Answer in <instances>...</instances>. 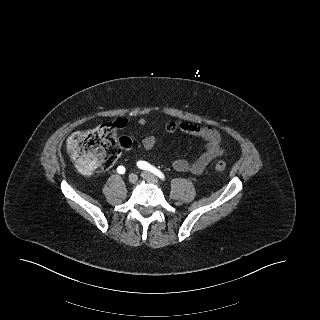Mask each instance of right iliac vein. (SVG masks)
Returning <instances> with one entry per match:
<instances>
[{"mask_svg":"<svg viewBox=\"0 0 320 320\" xmlns=\"http://www.w3.org/2000/svg\"><path fill=\"white\" fill-rule=\"evenodd\" d=\"M137 175L136 174H130L129 175V177H128V180H129V182L131 183V184H134V183H136L137 182Z\"/></svg>","mask_w":320,"mask_h":320,"instance_id":"right-iliac-vein-1","label":"right iliac vein"}]
</instances>
